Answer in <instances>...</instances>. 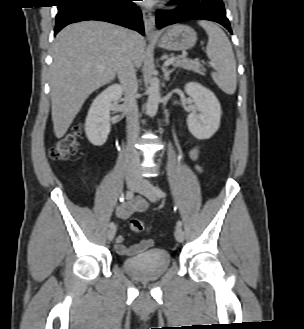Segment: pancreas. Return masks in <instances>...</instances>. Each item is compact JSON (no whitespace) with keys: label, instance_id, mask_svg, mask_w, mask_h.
I'll return each instance as SVG.
<instances>
[{"label":"pancreas","instance_id":"pancreas-1","mask_svg":"<svg viewBox=\"0 0 304 329\" xmlns=\"http://www.w3.org/2000/svg\"><path fill=\"white\" fill-rule=\"evenodd\" d=\"M172 59L174 60L172 63L174 67H181L205 75V68L197 61H192L184 57H172Z\"/></svg>","mask_w":304,"mask_h":329}]
</instances>
